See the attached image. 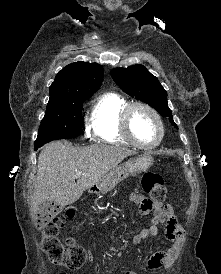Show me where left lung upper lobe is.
Instances as JSON below:
<instances>
[{"label": "left lung upper lobe", "mask_w": 221, "mask_h": 274, "mask_svg": "<svg viewBox=\"0 0 221 274\" xmlns=\"http://www.w3.org/2000/svg\"><path fill=\"white\" fill-rule=\"evenodd\" d=\"M111 76L124 92L149 104L162 116L169 117L172 125L178 128L168 107L167 92L158 79L144 66L134 65L128 68H115L111 70Z\"/></svg>", "instance_id": "5c2ea615"}]
</instances>
